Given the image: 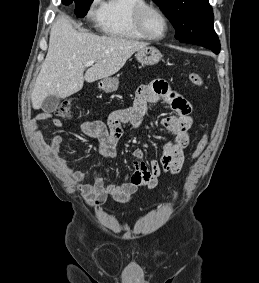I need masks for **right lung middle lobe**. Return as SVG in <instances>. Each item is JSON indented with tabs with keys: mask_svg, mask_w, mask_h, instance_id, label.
Segmentation results:
<instances>
[{
	"mask_svg": "<svg viewBox=\"0 0 259 283\" xmlns=\"http://www.w3.org/2000/svg\"><path fill=\"white\" fill-rule=\"evenodd\" d=\"M75 2L76 9L75 14L77 17H84L89 9V6L93 2V0H71Z\"/></svg>",
	"mask_w": 259,
	"mask_h": 283,
	"instance_id": "dd1d6c3e",
	"label": "right lung middle lobe"
}]
</instances>
